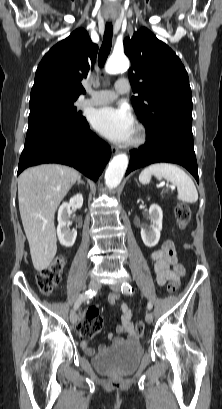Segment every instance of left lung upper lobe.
Segmentation results:
<instances>
[{"label":"left lung upper lobe","mask_w":222,"mask_h":409,"mask_svg":"<svg viewBox=\"0 0 222 409\" xmlns=\"http://www.w3.org/2000/svg\"><path fill=\"white\" fill-rule=\"evenodd\" d=\"M124 51L132 63L130 83L139 94L131 102L147 131L166 122L192 126V93L179 57L144 27L124 40Z\"/></svg>","instance_id":"1"}]
</instances>
